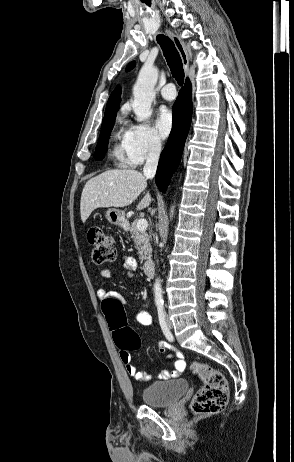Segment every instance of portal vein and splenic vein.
I'll use <instances>...</instances> for the list:
<instances>
[{
  "mask_svg": "<svg viewBox=\"0 0 294 462\" xmlns=\"http://www.w3.org/2000/svg\"><path fill=\"white\" fill-rule=\"evenodd\" d=\"M148 227V222L146 219H139L137 221V229L140 230V231H145Z\"/></svg>",
  "mask_w": 294,
  "mask_h": 462,
  "instance_id": "portal-vein-and-splenic-vein-1",
  "label": "portal vein and splenic vein"
}]
</instances>
